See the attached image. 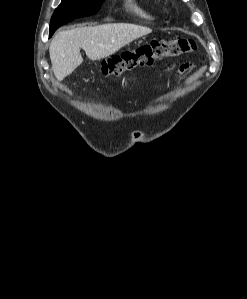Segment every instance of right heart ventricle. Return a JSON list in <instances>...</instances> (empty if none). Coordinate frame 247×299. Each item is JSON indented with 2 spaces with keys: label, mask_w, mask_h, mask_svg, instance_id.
Segmentation results:
<instances>
[{
  "label": "right heart ventricle",
  "mask_w": 247,
  "mask_h": 299,
  "mask_svg": "<svg viewBox=\"0 0 247 299\" xmlns=\"http://www.w3.org/2000/svg\"><path fill=\"white\" fill-rule=\"evenodd\" d=\"M126 7L134 13L137 17L146 20V21H153L157 18L156 14L147 8H144L140 5H138L133 0H127L126 1Z\"/></svg>",
  "instance_id": "right-heart-ventricle-1"
}]
</instances>
